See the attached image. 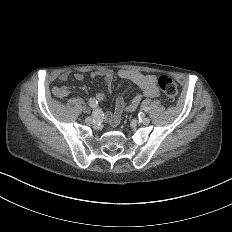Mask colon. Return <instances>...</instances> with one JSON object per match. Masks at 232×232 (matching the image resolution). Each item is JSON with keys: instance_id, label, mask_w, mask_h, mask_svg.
Instances as JSON below:
<instances>
[{"instance_id": "obj_1", "label": "colon", "mask_w": 232, "mask_h": 232, "mask_svg": "<svg viewBox=\"0 0 232 232\" xmlns=\"http://www.w3.org/2000/svg\"><path fill=\"white\" fill-rule=\"evenodd\" d=\"M159 86L162 90V98L164 101H177V86L176 81H171L168 77H163L159 81ZM58 98H71V93H58Z\"/></svg>"}]
</instances>
